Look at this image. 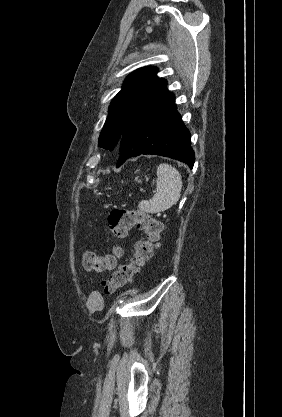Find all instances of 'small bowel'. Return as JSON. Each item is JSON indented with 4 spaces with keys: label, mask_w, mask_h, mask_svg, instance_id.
Returning <instances> with one entry per match:
<instances>
[{
    "label": "small bowel",
    "mask_w": 282,
    "mask_h": 417,
    "mask_svg": "<svg viewBox=\"0 0 282 417\" xmlns=\"http://www.w3.org/2000/svg\"><path fill=\"white\" fill-rule=\"evenodd\" d=\"M113 262H117V259ZM86 307L91 313L99 312L104 308V299L98 291H92L86 301Z\"/></svg>",
    "instance_id": "1"
}]
</instances>
